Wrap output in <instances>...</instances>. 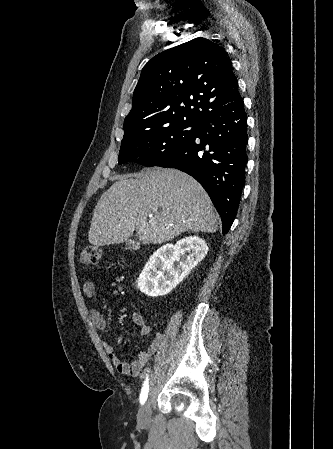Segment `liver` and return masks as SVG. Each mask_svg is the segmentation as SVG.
Here are the masks:
<instances>
[{
	"label": "liver",
	"instance_id": "liver-1",
	"mask_svg": "<svg viewBox=\"0 0 333 449\" xmlns=\"http://www.w3.org/2000/svg\"><path fill=\"white\" fill-rule=\"evenodd\" d=\"M218 225L208 194L193 177L176 169H146L119 177L101 195L88 240L94 246L120 244L136 231L143 244H161L185 231L214 233Z\"/></svg>",
	"mask_w": 333,
	"mask_h": 449
}]
</instances>
